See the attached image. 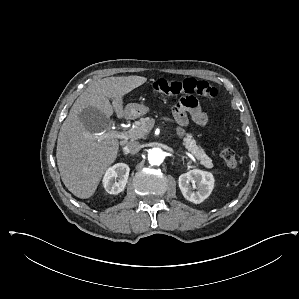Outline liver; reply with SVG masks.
Listing matches in <instances>:
<instances>
[{"label": "liver", "mask_w": 299, "mask_h": 299, "mask_svg": "<svg viewBox=\"0 0 299 299\" xmlns=\"http://www.w3.org/2000/svg\"><path fill=\"white\" fill-rule=\"evenodd\" d=\"M146 81L142 76L93 80L71 107L58 135L56 158L64 185L76 197L87 199L95 193L119 150L116 138L99 141L89 135L110 129L113 110L118 118L125 117L123 96Z\"/></svg>", "instance_id": "6515ba94"}]
</instances>
